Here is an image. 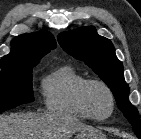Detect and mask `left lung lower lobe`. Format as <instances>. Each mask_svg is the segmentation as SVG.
Returning a JSON list of instances; mask_svg holds the SVG:
<instances>
[{"label":"left lung lower lobe","mask_w":141,"mask_h":139,"mask_svg":"<svg viewBox=\"0 0 141 139\" xmlns=\"http://www.w3.org/2000/svg\"><path fill=\"white\" fill-rule=\"evenodd\" d=\"M139 139H141V136H137Z\"/></svg>","instance_id":"left-lung-lower-lobe-1"}]
</instances>
